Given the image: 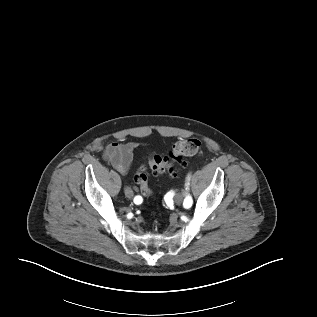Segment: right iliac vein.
<instances>
[{"label": "right iliac vein", "instance_id": "63e3f726", "mask_svg": "<svg viewBox=\"0 0 317 317\" xmlns=\"http://www.w3.org/2000/svg\"><path fill=\"white\" fill-rule=\"evenodd\" d=\"M128 190H130V188L126 187V188H125V195H126L128 198H132V195H131L130 197L127 195V191H128ZM130 192H131V191H130Z\"/></svg>", "mask_w": 317, "mask_h": 317}]
</instances>
